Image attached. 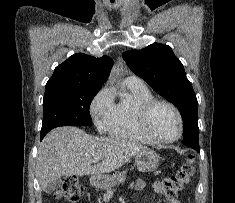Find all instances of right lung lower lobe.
<instances>
[{"label": "right lung lower lobe", "mask_w": 235, "mask_h": 203, "mask_svg": "<svg viewBox=\"0 0 235 203\" xmlns=\"http://www.w3.org/2000/svg\"><path fill=\"white\" fill-rule=\"evenodd\" d=\"M49 131H47V132H42L41 133V140L44 138V136L48 133Z\"/></svg>", "instance_id": "98d812e1"}]
</instances>
